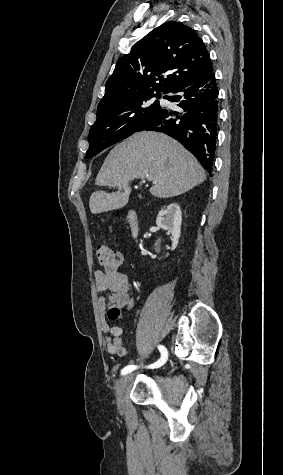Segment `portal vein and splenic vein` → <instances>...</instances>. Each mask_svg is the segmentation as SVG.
<instances>
[{"mask_svg": "<svg viewBox=\"0 0 283 475\" xmlns=\"http://www.w3.org/2000/svg\"><path fill=\"white\" fill-rule=\"evenodd\" d=\"M147 178H149V180H152V176H147Z\"/></svg>", "mask_w": 283, "mask_h": 475, "instance_id": "portal-vein-and-splenic-vein-1", "label": "portal vein and splenic vein"}]
</instances>
